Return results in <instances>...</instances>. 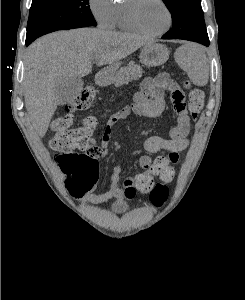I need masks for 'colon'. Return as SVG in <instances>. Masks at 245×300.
<instances>
[{
  "label": "colon",
  "mask_w": 245,
  "mask_h": 300,
  "mask_svg": "<svg viewBox=\"0 0 245 300\" xmlns=\"http://www.w3.org/2000/svg\"><path fill=\"white\" fill-rule=\"evenodd\" d=\"M189 88V112L196 119L204 106V93L199 88ZM92 87L84 88L67 105V112L56 118L52 124L55 132L50 145L57 153V163L67 174L66 185L74 195H82L92 189L98 177L97 159L87 151L92 134L96 128V119L87 117L80 127H72L71 112L87 109L95 99ZM152 175L141 173L135 179L136 189L149 194L155 207H161L167 199L168 188L153 190Z\"/></svg>",
  "instance_id": "obj_1"
}]
</instances>
